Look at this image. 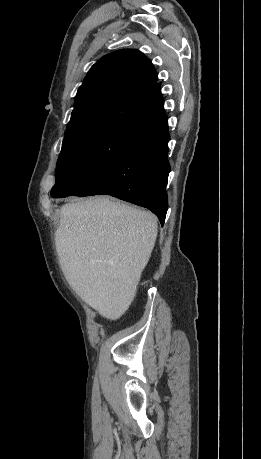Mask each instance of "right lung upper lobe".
Masks as SVG:
<instances>
[{
	"label": "right lung upper lobe",
	"mask_w": 261,
	"mask_h": 459,
	"mask_svg": "<svg viewBox=\"0 0 261 459\" xmlns=\"http://www.w3.org/2000/svg\"><path fill=\"white\" fill-rule=\"evenodd\" d=\"M166 118L151 61L138 50H118L102 57L85 77L64 140L108 124L154 127Z\"/></svg>",
	"instance_id": "1"
}]
</instances>
